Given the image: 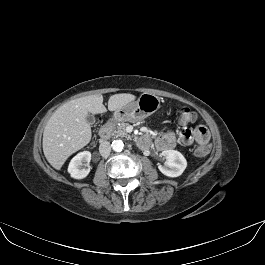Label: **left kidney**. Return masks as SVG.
<instances>
[{
    "label": "left kidney",
    "mask_w": 265,
    "mask_h": 265,
    "mask_svg": "<svg viewBox=\"0 0 265 265\" xmlns=\"http://www.w3.org/2000/svg\"><path fill=\"white\" fill-rule=\"evenodd\" d=\"M161 156L166 159L164 166L159 165L158 168L161 173L168 177H178L187 167L185 157L176 150H165Z\"/></svg>",
    "instance_id": "obj_1"
}]
</instances>
